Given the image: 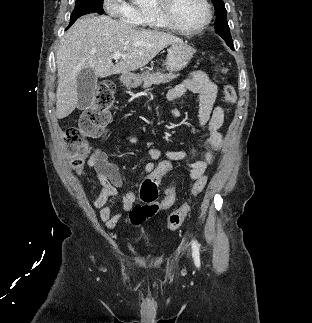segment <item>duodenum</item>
Masks as SVG:
<instances>
[{
	"instance_id": "duodenum-1",
	"label": "duodenum",
	"mask_w": 312,
	"mask_h": 323,
	"mask_svg": "<svg viewBox=\"0 0 312 323\" xmlns=\"http://www.w3.org/2000/svg\"><path fill=\"white\" fill-rule=\"evenodd\" d=\"M131 81V78L129 76H124L123 77V82L124 83H129Z\"/></svg>"
}]
</instances>
